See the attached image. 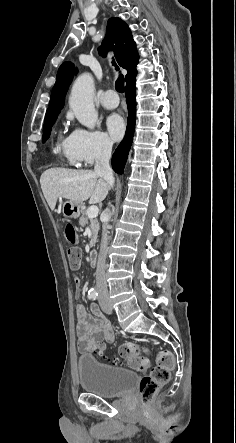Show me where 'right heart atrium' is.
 <instances>
[{
  "label": "right heart atrium",
  "mask_w": 236,
  "mask_h": 443,
  "mask_svg": "<svg viewBox=\"0 0 236 443\" xmlns=\"http://www.w3.org/2000/svg\"><path fill=\"white\" fill-rule=\"evenodd\" d=\"M68 154L77 164L91 166L109 149V143L101 134L75 127L67 137Z\"/></svg>",
  "instance_id": "right-heart-atrium-1"
}]
</instances>
